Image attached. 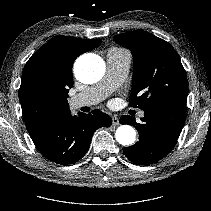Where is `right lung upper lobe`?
<instances>
[{
  "label": "right lung upper lobe",
  "instance_id": "1",
  "mask_svg": "<svg viewBox=\"0 0 211 211\" xmlns=\"http://www.w3.org/2000/svg\"><path fill=\"white\" fill-rule=\"evenodd\" d=\"M100 43V39L84 40L60 35L40 47L27 61L19 100L31 137L69 111L67 93L73 85V62Z\"/></svg>",
  "mask_w": 211,
  "mask_h": 211
}]
</instances>
